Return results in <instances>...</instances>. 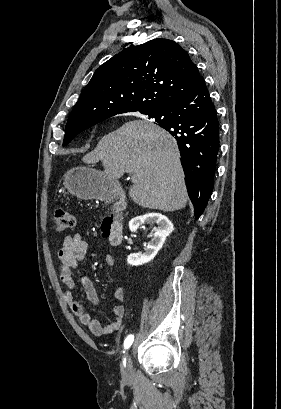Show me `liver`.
I'll return each instance as SVG.
<instances>
[{
    "mask_svg": "<svg viewBox=\"0 0 281 409\" xmlns=\"http://www.w3.org/2000/svg\"><path fill=\"white\" fill-rule=\"evenodd\" d=\"M87 164L101 160L109 178L132 174L129 196L140 207L179 211L187 202L184 170L177 144L150 120H129L105 134L96 148L82 158Z\"/></svg>",
    "mask_w": 281,
    "mask_h": 409,
    "instance_id": "liver-1",
    "label": "liver"
}]
</instances>
